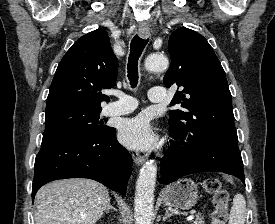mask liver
Returning <instances> with one entry per match:
<instances>
[{
  "label": "liver",
  "instance_id": "6515ba94",
  "mask_svg": "<svg viewBox=\"0 0 275 224\" xmlns=\"http://www.w3.org/2000/svg\"><path fill=\"white\" fill-rule=\"evenodd\" d=\"M110 204L109 192L90 179H64L35 196V224H95Z\"/></svg>",
  "mask_w": 275,
  "mask_h": 224
}]
</instances>
